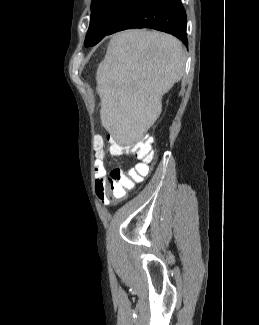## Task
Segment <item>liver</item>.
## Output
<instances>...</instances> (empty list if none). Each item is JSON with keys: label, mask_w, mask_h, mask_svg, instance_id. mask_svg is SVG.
<instances>
[{"label": "liver", "mask_w": 259, "mask_h": 325, "mask_svg": "<svg viewBox=\"0 0 259 325\" xmlns=\"http://www.w3.org/2000/svg\"><path fill=\"white\" fill-rule=\"evenodd\" d=\"M185 62L181 41L166 33L132 29L111 38L96 91L101 124L118 143L144 138L161 114L163 95L183 77Z\"/></svg>", "instance_id": "liver-1"}]
</instances>
